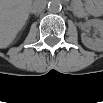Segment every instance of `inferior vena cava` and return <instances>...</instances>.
<instances>
[{
  "label": "inferior vena cava",
  "mask_w": 103,
  "mask_h": 103,
  "mask_svg": "<svg viewBox=\"0 0 103 103\" xmlns=\"http://www.w3.org/2000/svg\"><path fill=\"white\" fill-rule=\"evenodd\" d=\"M45 7H46L45 1L36 0V1L33 2L32 11L35 12V13H40V12L44 11Z\"/></svg>",
  "instance_id": "602c4592"
}]
</instances>
